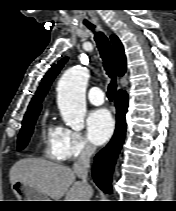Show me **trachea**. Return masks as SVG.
Instances as JSON below:
<instances>
[{
  "label": "trachea",
  "instance_id": "1",
  "mask_svg": "<svg viewBox=\"0 0 176 211\" xmlns=\"http://www.w3.org/2000/svg\"><path fill=\"white\" fill-rule=\"evenodd\" d=\"M88 28L90 30H94L95 26L89 25ZM94 39L103 60V66L106 74L111 78V82L108 85L107 97L110 101H112L117 89V83L114 71L111 45L108 38L102 32L95 33Z\"/></svg>",
  "mask_w": 176,
  "mask_h": 211
}]
</instances>
